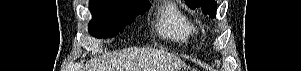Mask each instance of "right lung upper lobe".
<instances>
[{
    "label": "right lung upper lobe",
    "instance_id": "right-lung-upper-lobe-1",
    "mask_svg": "<svg viewBox=\"0 0 301 71\" xmlns=\"http://www.w3.org/2000/svg\"><path fill=\"white\" fill-rule=\"evenodd\" d=\"M127 1H136V2H149V0H127Z\"/></svg>",
    "mask_w": 301,
    "mask_h": 71
}]
</instances>
